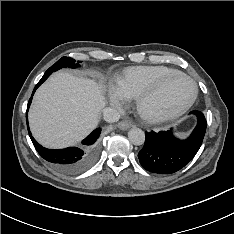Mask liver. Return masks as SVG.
Segmentation results:
<instances>
[{
  "instance_id": "liver-1",
  "label": "liver",
  "mask_w": 234,
  "mask_h": 234,
  "mask_svg": "<svg viewBox=\"0 0 234 234\" xmlns=\"http://www.w3.org/2000/svg\"><path fill=\"white\" fill-rule=\"evenodd\" d=\"M105 104L100 84L57 72L34 95L29 111L31 132L47 148L71 146L97 126Z\"/></svg>"
}]
</instances>
